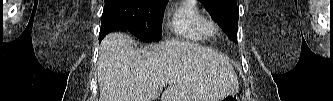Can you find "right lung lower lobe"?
<instances>
[{
	"mask_svg": "<svg viewBox=\"0 0 333 101\" xmlns=\"http://www.w3.org/2000/svg\"><path fill=\"white\" fill-rule=\"evenodd\" d=\"M120 27H122V23L116 16L103 11L99 40L101 41L106 34L117 31Z\"/></svg>",
	"mask_w": 333,
	"mask_h": 101,
	"instance_id": "right-lung-lower-lobe-1",
	"label": "right lung lower lobe"
}]
</instances>
